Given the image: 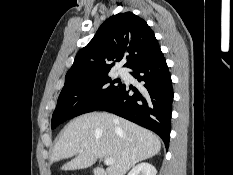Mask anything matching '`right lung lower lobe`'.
<instances>
[{"mask_svg": "<svg viewBox=\"0 0 233 175\" xmlns=\"http://www.w3.org/2000/svg\"><path fill=\"white\" fill-rule=\"evenodd\" d=\"M131 75L142 86L129 88L125 84L110 101L97 110L108 111L154 131L169 146L173 87L171 75L162 52L132 68ZM134 91L129 95V90Z\"/></svg>", "mask_w": 233, "mask_h": 175, "instance_id": "98d812e1", "label": "right lung lower lobe"}]
</instances>
